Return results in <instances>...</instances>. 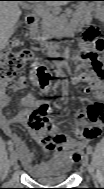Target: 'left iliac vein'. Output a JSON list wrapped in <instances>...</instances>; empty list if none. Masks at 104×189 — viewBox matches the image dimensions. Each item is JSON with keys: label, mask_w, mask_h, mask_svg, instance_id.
Instances as JSON below:
<instances>
[{"label": "left iliac vein", "mask_w": 104, "mask_h": 189, "mask_svg": "<svg viewBox=\"0 0 104 189\" xmlns=\"http://www.w3.org/2000/svg\"><path fill=\"white\" fill-rule=\"evenodd\" d=\"M88 162H89V157L87 154H85L83 157H82V165L83 167H86L88 165Z\"/></svg>", "instance_id": "1"}]
</instances>
